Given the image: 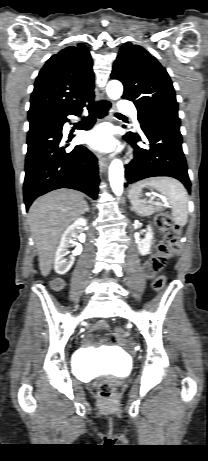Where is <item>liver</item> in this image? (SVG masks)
<instances>
[{
  "instance_id": "6515ba94",
  "label": "liver",
  "mask_w": 208,
  "mask_h": 461,
  "mask_svg": "<svg viewBox=\"0 0 208 461\" xmlns=\"http://www.w3.org/2000/svg\"><path fill=\"white\" fill-rule=\"evenodd\" d=\"M86 201L81 193L59 189L36 199L29 209L28 220L35 241L39 268L43 276L49 275L55 251L66 227L84 214Z\"/></svg>"
}]
</instances>
